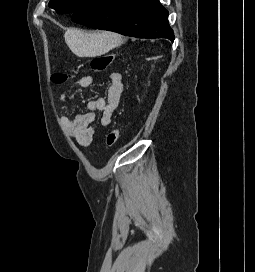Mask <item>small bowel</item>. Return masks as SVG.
I'll use <instances>...</instances> for the list:
<instances>
[{
    "label": "small bowel",
    "mask_w": 255,
    "mask_h": 272,
    "mask_svg": "<svg viewBox=\"0 0 255 272\" xmlns=\"http://www.w3.org/2000/svg\"><path fill=\"white\" fill-rule=\"evenodd\" d=\"M93 83L91 75H85L79 80L77 87L85 89ZM124 91L123 76L120 72H112L108 76V88L105 98L99 97L88 102V112L78 114L74 118L67 115L61 117L68 134L82 147H88L93 140L95 133L94 122L96 120V112H101L100 124L107 126L116 112L121 101ZM68 95L62 93L61 101L66 102Z\"/></svg>",
    "instance_id": "1"
}]
</instances>
